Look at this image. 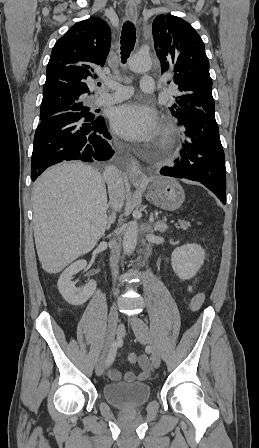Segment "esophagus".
Listing matches in <instances>:
<instances>
[{"mask_svg": "<svg viewBox=\"0 0 259 448\" xmlns=\"http://www.w3.org/2000/svg\"><path fill=\"white\" fill-rule=\"evenodd\" d=\"M126 16L132 22L137 21V7L134 0H128L126 4ZM126 172L133 184H140L144 181V173L142 167L136 158L130 157L126 166Z\"/></svg>", "mask_w": 259, "mask_h": 448, "instance_id": "esophagus-1", "label": "esophagus"}]
</instances>
